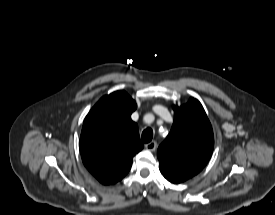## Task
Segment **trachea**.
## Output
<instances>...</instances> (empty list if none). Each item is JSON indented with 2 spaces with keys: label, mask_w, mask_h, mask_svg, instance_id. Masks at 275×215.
I'll list each match as a JSON object with an SVG mask.
<instances>
[{
  "label": "trachea",
  "mask_w": 275,
  "mask_h": 215,
  "mask_svg": "<svg viewBox=\"0 0 275 215\" xmlns=\"http://www.w3.org/2000/svg\"><path fill=\"white\" fill-rule=\"evenodd\" d=\"M153 138V131L151 128H147L142 132V141L144 143H149Z\"/></svg>",
  "instance_id": "obj_1"
}]
</instances>
